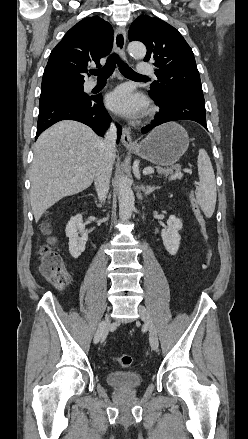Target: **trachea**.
<instances>
[{"mask_svg": "<svg viewBox=\"0 0 248 439\" xmlns=\"http://www.w3.org/2000/svg\"><path fill=\"white\" fill-rule=\"evenodd\" d=\"M116 64H118L120 72L125 77H146L132 70L120 59L119 55L116 53L111 54L104 67L97 70H92L90 73L97 76L98 80H106L112 75Z\"/></svg>", "mask_w": 248, "mask_h": 439, "instance_id": "3493384b", "label": "trachea"}]
</instances>
